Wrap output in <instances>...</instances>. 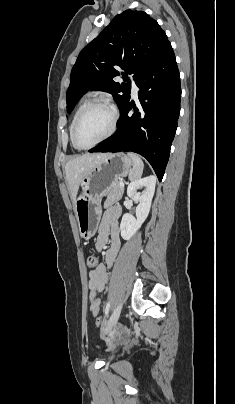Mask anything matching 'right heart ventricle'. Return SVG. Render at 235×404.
<instances>
[{"label":"right heart ventricle","instance_id":"obj_1","mask_svg":"<svg viewBox=\"0 0 235 404\" xmlns=\"http://www.w3.org/2000/svg\"><path fill=\"white\" fill-rule=\"evenodd\" d=\"M88 103H89V100H88V99H84V100H82V101L80 102V104L78 105L77 109L75 110V112H74V114H73V117H72V120H71V123H70V127H69L70 140H71L72 145H73L74 148H76V149H78V148L74 145V143H73V141H72V130H73V126H74V123H75V120H76L77 116L79 115V113L84 109V107H85Z\"/></svg>","mask_w":235,"mask_h":404}]
</instances>
